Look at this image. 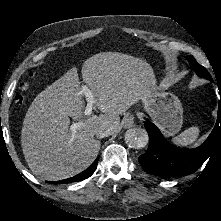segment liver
Instances as JSON below:
<instances>
[{"mask_svg": "<svg viewBox=\"0 0 221 221\" xmlns=\"http://www.w3.org/2000/svg\"><path fill=\"white\" fill-rule=\"evenodd\" d=\"M82 79L101 112L84 116L85 100L79 94L76 68L39 93L30 105L21 131V146L32 173L49 181L68 178L88 167L97 157L99 128L119 129L120 115L146 96L154 84L146 61L117 52H102L82 65ZM70 117L82 126L69 130Z\"/></svg>", "mask_w": 221, "mask_h": 221, "instance_id": "1", "label": "liver"}]
</instances>
